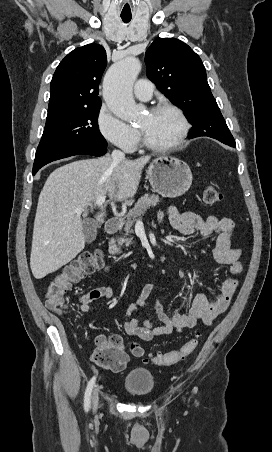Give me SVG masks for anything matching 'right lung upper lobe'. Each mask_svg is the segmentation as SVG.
Returning <instances> with one entry per match:
<instances>
[{"label": "right lung upper lobe", "mask_w": 272, "mask_h": 452, "mask_svg": "<svg viewBox=\"0 0 272 452\" xmlns=\"http://www.w3.org/2000/svg\"><path fill=\"white\" fill-rule=\"evenodd\" d=\"M106 64V51L99 44L69 53L51 80L48 114L101 106L98 89Z\"/></svg>", "instance_id": "obj_1"}]
</instances>
